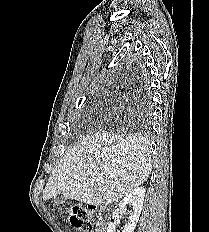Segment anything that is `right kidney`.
<instances>
[{"label": "right kidney", "instance_id": "right-kidney-1", "mask_svg": "<svg viewBox=\"0 0 209 232\" xmlns=\"http://www.w3.org/2000/svg\"><path fill=\"white\" fill-rule=\"evenodd\" d=\"M145 188L144 187H136L129 194H127L123 200L119 203V208L114 211L113 219L116 220L118 214L124 212L126 210L127 204H132L133 209L129 213V222L128 225L124 227L122 232H134L136 224L139 220L141 210L143 207V201L145 197ZM116 223L110 222L107 228V232H116Z\"/></svg>", "mask_w": 209, "mask_h": 232}]
</instances>
